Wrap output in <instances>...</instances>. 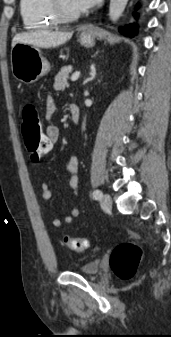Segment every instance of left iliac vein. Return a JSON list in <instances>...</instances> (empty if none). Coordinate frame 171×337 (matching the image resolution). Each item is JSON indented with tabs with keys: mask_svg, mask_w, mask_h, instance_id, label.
I'll return each mask as SVG.
<instances>
[{
	"mask_svg": "<svg viewBox=\"0 0 171 337\" xmlns=\"http://www.w3.org/2000/svg\"><path fill=\"white\" fill-rule=\"evenodd\" d=\"M101 207L105 211H109L112 208V199L109 194H104L101 199Z\"/></svg>",
	"mask_w": 171,
	"mask_h": 337,
	"instance_id": "left-iliac-vein-1",
	"label": "left iliac vein"
}]
</instances>
